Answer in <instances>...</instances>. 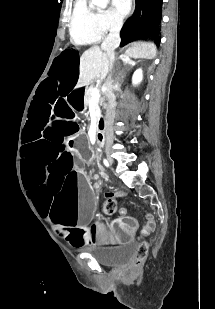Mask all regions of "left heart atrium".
Wrapping results in <instances>:
<instances>
[{
	"label": "left heart atrium",
	"instance_id": "1",
	"mask_svg": "<svg viewBox=\"0 0 215 309\" xmlns=\"http://www.w3.org/2000/svg\"><path fill=\"white\" fill-rule=\"evenodd\" d=\"M118 12H129L130 6L128 0H112Z\"/></svg>",
	"mask_w": 215,
	"mask_h": 309
}]
</instances>
